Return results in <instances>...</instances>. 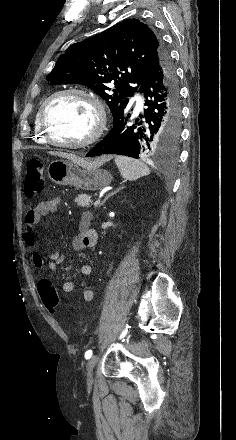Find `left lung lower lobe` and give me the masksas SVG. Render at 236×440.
I'll list each match as a JSON object with an SVG mask.
<instances>
[{"label":"left lung lower lobe","instance_id":"left-lung-lower-lobe-1","mask_svg":"<svg viewBox=\"0 0 236 440\" xmlns=\"http://www.w3.org/2000/svg\"><path fill=\"white\" fill-rule=\"evenodd\" d=\"M140 90L147 106L140 118L130 125V114L122 111L113 120L108 135L86 157L112 153L138 158L159 146L175 144L180 131L181 104L175 69L168 52L151 60Z\"/></svg>","mask_w":236,"mask_h":440}]
</instances>
